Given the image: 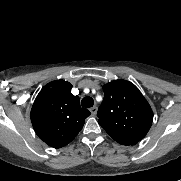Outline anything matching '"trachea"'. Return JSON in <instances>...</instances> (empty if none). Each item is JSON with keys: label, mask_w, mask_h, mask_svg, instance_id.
<instances>
[{"label": "trachea", "mask_w": 181, "mask_h": 181, "mask_svg": "<svg viewBox=\"0 0 181 181\" xmlns=\"http://www.w3.org/2000/svg\"><path fill=\"white\" fill-rule=\"evenodd\" d=\"M94 104V101L91 97H84L81 101L82 107L90 108Z\"/></svg>", "instance_id": "3493384b"}]
</instances>
